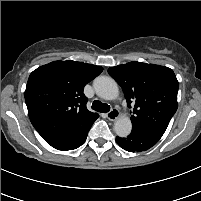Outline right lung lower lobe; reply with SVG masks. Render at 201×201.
Returning a JSON list of instances; mask_svg holds the SVG:
<instances>
[{
    "label": "right lung lower lobe",
    "instance_id": "obj_1",
    "mask_svg": "<svg viewBox=\"0 0 201 201\" xmlns=\"http://www.w3.org/2000/svg\"><path fill=\"white\" fill-rule=\"evenodd\" d=\"M91 127H89L83 133L72 135V136H65V137H45L43 138L49 145L58 149V150H73L81 146L86 138L88 131Z\"/></svg>",
    "mask_w": 201,
    "mask_h": 201
}]
</instances>
